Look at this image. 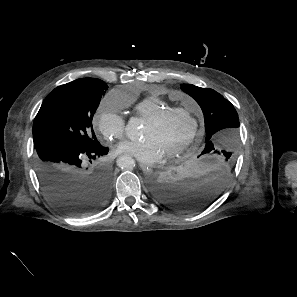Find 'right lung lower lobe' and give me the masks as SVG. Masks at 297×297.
Returning a JSON list of instances; mask_svg holds the SVG:
<instances>
[{
  "instance_id": "1",
  "label": "right lung lower lobe",
  "mask_w": 297,
  "mask_h": 297,
  "mask_svg": "<svg viewBox=\"0 0 297 297\" xmlns=\"http://www.w3.org/2000/svg\"><path fill=\"white\" fill-rule=\"evenodd\" d=\"M35 167L44 193L61 211L91 214L107 201L111 174L104 165L89 167L86 160L108 153L101 145L84 149L66 141H48L35 147Z\"/></svg>"
}]
</instances>
